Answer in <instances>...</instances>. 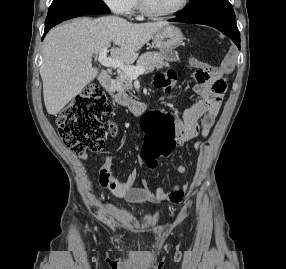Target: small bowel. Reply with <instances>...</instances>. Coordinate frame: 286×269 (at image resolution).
<instances>
[{
  "mask_svg": "<svg viewBox=\"0 0 286 269\" xmlns=\"http://www.w3.org/2000/svg\"><path fill=\"white\" fill-rule=\"evenodd\" d=\"M194 67V66H192ZM227 72L228 70H224ZM195 79V78H194ZM157 86L164 87L165 93H170V88L160 85L157 82ZM196 92L203 94V98L187 109L182 119L174 118L176 121V126L174 129L179 137V144L186 141L192 140L197 136L207 137L217 119L220 112L222 101L226 91V83L224 90V95L221 100H212V95H207V93H202L195 88ZM145 142V141H144ZM195 147L200 148V142H195ZM144 150V149H142ZM82 160L87 159V155H81ZM136 161L139 165L145 164V158L143 155L138 154ZM112 158L107 159L98 170V182L99 185L111 192L118 198L126 199L131 202L136 203H160L165 200H169L173 203H180L177 197L178 192L185 191L188 188V184L178 183L170 188L159 187L155 191H152L144 182L142 187H135V183L138 178V173L136 170H131L124 181H119L113 174L111 170ZM176 171L185 175L187 168L184 165L176 166Z\"/></svg>",
  "mask_w": 286,
  "mask_h": 269,
  "instance_id": "obj_1",
  "label": "small bowel"
}]
</instances>
